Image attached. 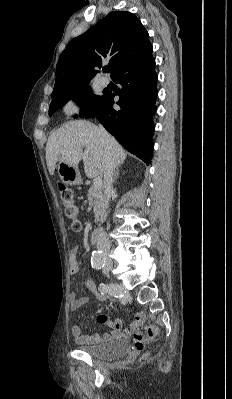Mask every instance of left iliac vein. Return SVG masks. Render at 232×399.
<instances>
[{
  "mask_svg": "<svg viewBox=\"0 0 232 399\" xmlns=\"http://www.w3.org/2000/svg\"><path fill=\"white\" fill-rule=\"evenodd\" d=\"M102 271L104 272L105 275L109 274V269L107 267H103Z\"/></svg>",
  "mask_w": 232,
  "mask_h": 399,
  "instance_id": "obj_1",
  "label": "left iliac vein"
}]
</instances>
